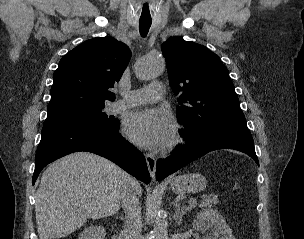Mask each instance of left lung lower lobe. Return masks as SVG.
<instances>
[{
	"instance_id": "1",
	"label": "left lung lower lobe",
	"mask_w": 304,
	"mask_h": 239,
	"mask_svg": "<svg viewBox=\"0 0 304 239\" xmlns=\"http://www.w3.org/2000/svg\"><path fill=\"white\" fill-rule=\"evenodd\" d=\"M234 149L249 155L259 166L254 141L249 130L224 129L212 132L196 140L186 139V145L156 165L157 180L164 179L188 163L208 152L218 149Z\"/></svg>"
}]
</instances>
